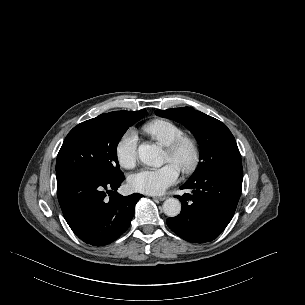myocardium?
I'll use <instances>...</instances> for the list:
<instances>
[{"mask_svg": "<svg viewBox=\"0 0 305 305\" xmlns=\"http://www.w3.org/2000/svg\"><path fill=\"white\" fill-rule=\"evenodd\" d=\"M166 151L173 158H177L184 151H188V159L179 166V169L184 173L193 171L199 162L200 148L198 142L193 137L184 135L178 138L173 143L166 146Z\"/></svg>", "mask_w": 305, "mask_h": 305, "instance_id": "f54148a6", "label": "myocardium"}]
</instances>
